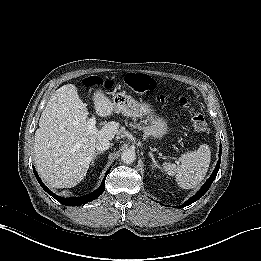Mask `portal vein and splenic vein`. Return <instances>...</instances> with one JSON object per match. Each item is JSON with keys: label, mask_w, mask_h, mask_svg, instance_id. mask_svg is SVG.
Listing matches in <instances>:
<instances>
[{"label": "portal vein and splenic vein", "mask_w": 261, "mask_h": 261, "mask_svg": "<svg viewBox=\"0 0 261 261\" xmlns=\"http://www.w3.org/2000/svg\"><path fill=\"white\" fill-rule=\"evenodd\" d=\"M88 129H89V131H95L96 130V126H95V124H96V119H95V117H92V118H90L89 120H88Z\"/></svg>", "instance_id": "18ae733b"}]
</instances>
